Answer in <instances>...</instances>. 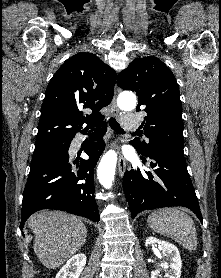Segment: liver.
<instances>
[{"label": "liver", "mask_w": 221, "mask_h": 278, "mask_svg": "<svg viewBox=\"0 0 221 278\" xmlns=\"http://www.w3.org/2000/svg\"><path fill=\"white\" fill-rule=\"evenodd\" d=\"M33 231L34 252L49 269L60 267L85 243L87 229L75 216L61 211H40L28 220Z\"/></svg>", "instance_id": "1"}]
</instances>
